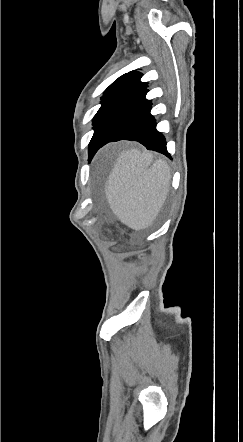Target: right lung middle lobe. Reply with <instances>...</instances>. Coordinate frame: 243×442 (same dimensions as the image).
<instances>
[{"label": "right lung middle lobe", "instance_id": "obj_1", "mask_svg": "<svg viewBox=\"0 0 243 442\" xmlns=\"http://www.w3.org/2000/svg\"><path fill=\"white\" fill-rule=\"evenodd\" d=\"M121 97H102V106L93 119L94 130L102 123L110 111L122 100Z\"/></svg>", "mask_w": 243, "mask_h": 442}]
</instances>
